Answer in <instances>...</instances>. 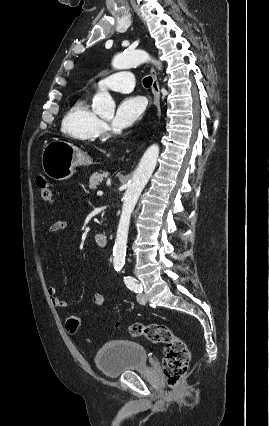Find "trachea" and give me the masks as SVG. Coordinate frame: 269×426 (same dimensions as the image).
Masks as SVG:
<instances>
[{
    "label": "trachea",
    "mask_w": 269,
    "mask_h": 426,
    "mask_svg": "<svg viewBox=\"0 0 269 426\" xmlns=\"http://www.w3.org/2000/svg\"><path fill=\"white\" fill-rule=\"evenodd\" d=\"M143 85L146 88H149L152 85V77H146V78H144Z\"/></svg>",
    "instance_id": "1"
}]
</instances>
